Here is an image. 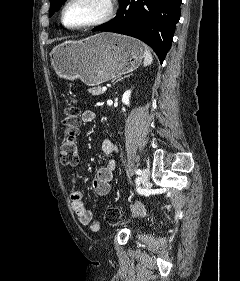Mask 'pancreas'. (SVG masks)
<instances>
[{
	"mask_svg": "<svg viewBox=\"0 0 240 281\" xmlns=\"http://www.w3.org/2000/svg\"><path fill=\"white\" fill-rule=\"evenodd\" d=\"M88 93H91L92 95H100L103 94L104 91H102L101 87H94V88H89Z\"/></svg>",
	"mask_w": 240,
	"mask_h": 281,
	"instance_id": "pancreas-1",
	"label": "pancreas"
}]
</instances>
